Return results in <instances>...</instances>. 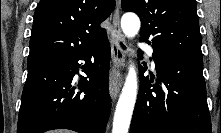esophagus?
<instances>
[{
  "instance_id": "esophagus-1",
  "label": "esophagus",
  "mask_w": 221,
  "mask_h": 133,
  "mask_svg": "<svg viewBox=\"0 0 221 133\" xmlns=\"http://www.w3.org/2000/svg\"><path fill=\"white\" fill-rule=\"evenodd\" d=\"M125 37L120 28L119 3L113 15V31L111 39L112 68L109 82V92L115 100L122 86V77L117 78V74L122 73L125 66V52L120 43H124Z\"/></svg>"
}]
</instances>
